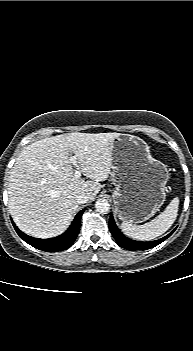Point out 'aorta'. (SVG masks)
<instances>
[{
	"label": "aorta",
	"instance_id": "1",
	"mask_svg": "<svg viewBox=\"0 0 193 351\" xmlns=\"http://www.w3.org/2000/svg\"><path fill=\"white\" fill-rule=\"evenodd\" d=\"M95 208L99 213H108L110 210V204L106 199H98L95 203Z\"/></svg>",
	"mask_w": 193,
	"mask_h": 351
}]
</instances>
